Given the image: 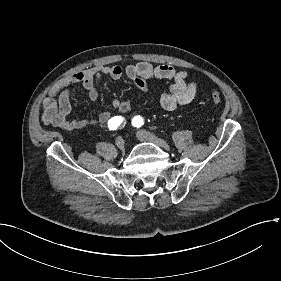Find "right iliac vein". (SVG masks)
I'll use <instances>...</instances> for the list:
<instances>
[{
  "instance_id": "obj_1",
  "label": "right iliac vein",
  "mask_w": 281,
  "mask_h": 281,
  "mask_svg": "<svg viewBox=\"0 0 281 281\" xmlns=\"http://www.w3.org/2000/svg\"><path fill=\"white\" fill-rule=\"evenodd\" d=\"M115 144L116 146L120 149V150H124V140L122 137H117L116 140H115Z\"/></svg>"
}]
</instances>
